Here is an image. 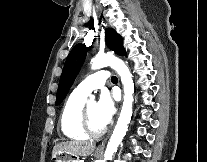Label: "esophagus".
<instances>
[{"mask_svg":"<svg viewBox=\"0 0 207 162\" xmlns=\"http://www.w3.org/2000/svg\"><path fill=\"white\" fill-rule=\"evenodd\" d=\"M107 139L108 138H105L103 141H102V143L99 145V147L97 148V151H101V152H103V150H104V147H105V144H106V142H107Z\"/></svg>","mask_w":207,"mask_h":162,"instance_id":"esophagus-1","label":"esophagus"}]
</instances>
